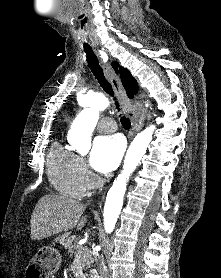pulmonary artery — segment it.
Here are the masks:
<instances>
[{
	"label": "pulmonary artery",
	"instance_id": "obj_1",
	"mask_svg": "<svg viewBox=\"0 0 221 278\" xmlns=\"http://www.w3.org/2000/svg\"><path fill=\"white\" fill-rule=\"evenodd\" d=\"M98 130L102 133L114 132L116 130V124L110 118H103L98 124Z\"/></svg>",
	"mask_w": 221,
	"mask_h": 278
}]
</instances>
